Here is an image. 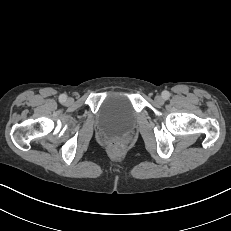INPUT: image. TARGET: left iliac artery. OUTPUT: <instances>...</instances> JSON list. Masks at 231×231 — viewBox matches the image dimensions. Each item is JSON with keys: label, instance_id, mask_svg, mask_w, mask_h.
Wrapping results in <instances>:
<instances>
[{"label": "left iliac artery", "instance_id": "44dca946", "mask_svg": "<svg viewBox=\"0 0 231 231\" xmlns=\"http://www.w3.org/2000/svg\"><path fill=\"white\" fill-rule=\"evenodd\" d=\"M162 97L165 99V100H167V99H169V97H170V93L168 92V91H163L162 92Z\"/></svg>", "mask_w": 231, "mask_h": 231}]
</instances>
